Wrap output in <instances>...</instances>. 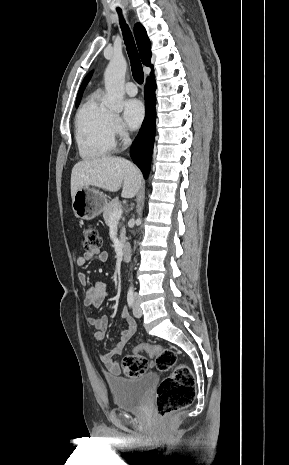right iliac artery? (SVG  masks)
Here are the masks:
<instances>
[{"label":"right iliac artery","instance_id":"obj_1","mask_svg":"<svg viewBox=\"0 0 289 465\" xmlns=\"http://www.w3.org/2000/svg\"><path fill=\"white\" fill-rule=\"evenodd\" d=\"M127 302H128L129 307H133V305H134V294H133V292H129L127 294Z\"/></svg>","mask_w":289,"mask_h":465}]
</instances>
